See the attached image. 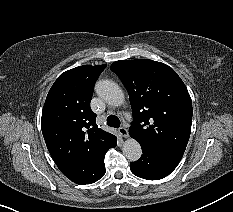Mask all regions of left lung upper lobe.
Wrapping results in <instances>:
<instances>
[{
	"label": "left lung upper lobe",
	"instance_id": "1",
	"mask_svg": "<svg viewBox=\"0 0 233 212\" xmlns=\"http://www.w3.org/2000/svg\"><path fill=\"white\" fill-rule=\"evenodd\" d=\"M110 69L126 87L136 124L129 134L141 145L182 157L192 124L188 90L168 65L150 59L120 60Z\"/></svg>",
	"mask_w": 233,
	"mask_h": 212
}]
</instances>
